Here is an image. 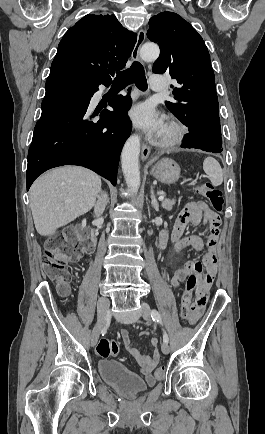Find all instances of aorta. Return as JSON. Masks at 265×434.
I'll return each mask as SVG.
<instances>
[{"label": "aorta", "instance_id": "1", "mask_svg": "<svg viewBox=\"0 0 265 434\" xmlns=\"http://www.w3.org/2000/svg\"><path fill=\"white\" fill-rule=\"evenodd\" d=\"M140 56L145 62H152L158 58L159 48L156 44H144L140 50ZM139 154L140 138L130 136L122 150L121 162L125 182L133 194L138 192L140 186Z\"/></svg>", "mask_w": 265, "mask_h": 434}]
</instances>
